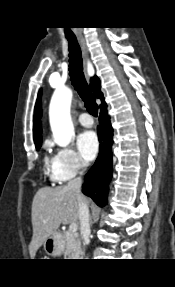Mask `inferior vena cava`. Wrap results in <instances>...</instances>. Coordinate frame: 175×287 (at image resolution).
Segmentation results:
<instances>
[{
    "instance_id": "obj_1",
    "label": "inferior vena cava",
    "mask_w": 175,
    "mask_h": 287,
    "mask_svg": "<svg viewBox=\"0 0 175 287\" xmlns=\"http://www.w3.org/2000/svg\"><path fill=\"white\" fill-rule=\"evenodd\" d=\"M85 163H81V167H85ZM77 178L70 180L67 184V188L73 190L76 193L77 200H78V207H79V219L81 225V235L85 244H89L90 239V226H89V209L86 201L84 200L83 196L81 195V185H82V171L79 172Z\"/></svg>"
}]
</instances>
